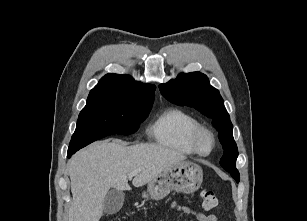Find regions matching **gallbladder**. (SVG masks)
<instances>
[{
    "instance_id": "1",
    "label": "gallbladder",
    "mask_w": 307,
    "mask_h": 221,
    "mask_svg": "<svg viewBox=\"0 0 307 221\" xmlns=\"http://www.w3.org/2000/svg\"><path fill=\"white\" fill-rule=\"evenodd\" d=\"M123 203L124 193L116 189H111L104 198L103 211L107 215L115 214L122 208Z\"/></svg>"
}]
</instances>
